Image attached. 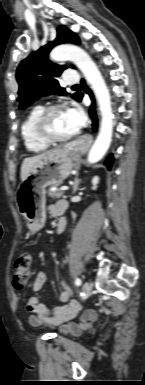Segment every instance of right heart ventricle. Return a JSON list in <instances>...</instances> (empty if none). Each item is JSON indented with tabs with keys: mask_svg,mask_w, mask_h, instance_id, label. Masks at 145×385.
<instances>
[{
	"mask_svg": "<svg viewBox=\"0 0 145 385\" xmlns=\"http://www.w3.org/2000/svg\"><path fill=\"white\" fill-rule=\"evenodd\" d=\"M43 106H34L26 115L21 125V136L27 151L37 153L44 151L48 144L42 141L35 133V122L43 110Z\"/></svg>",
	"mask_w": 145,
	"mask_h": 385,
	"instance_id": "obj_1",
	"label": "right heart ventricle"
}]
</instances>
